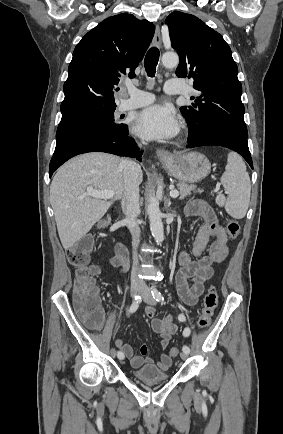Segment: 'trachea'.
Wrapping results in <instances>:
<instances>
[{"mask_svg": "<svg viewBox=\"0 0 283 434\" xmlns=\"http://www.w3.org/2000/svg\"><path fill=\"white\" fill-rule=\"evenodd\" d=\"M159 50L156 47H152L148 50L145 59L144 66L149 77H154L156 72V66L159 60Z\"/></svg>", "mask_w": 283, "mask_h": 434, "instance_id": "trachea-1", "label": "trachea"}]
</instances>
